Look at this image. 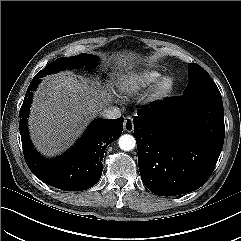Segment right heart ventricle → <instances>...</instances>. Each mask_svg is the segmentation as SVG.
Masks as SVG:
<instances>
[{"mask_svg": "<svg viewBox=\"0 0 241 241\" xmlns=\"http://www.w3.org/2000/svg\"><path fill=\"white\" fill-rule=\"evenodd\" d=\"M161 74L155 70H144L129 76L122 83V90L126 93H137L145 87L155 83Z\"/></svg>", "mask_w": 241, "mask_h": 241, "instance_id": "1", "label": "right heart ventricle"}]
</instances>
